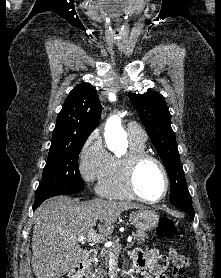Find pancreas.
<instances>
[{
  "mask_svg": "<svg viewBox=\"0 0 221 278\" xmlns=\"http://www.w3.org/2000/svg\"><path fill=\"white\" fill-rule=\"evenodd\" d=\"M133 238L137 240L138 244H141L145 241V238H148L147 234L144 232H137L132 234ZM133 245V243L131 244ZM121 251V245L118 243L111 246L108 250L103 249L100 253V258L103 260L102 265H108L110 254L113 253L115 256H118ZM96 264V263H95ZM89 277L88 278H106L107 277V271L103 268H97L93 271L92 268H89L88 270Z\"/></svg>",
  "mask_w": 221,
  "mask_h": 278,
  "instance_id": "pancreas-1",
  "label": "pancreas"
}]
</instances>
